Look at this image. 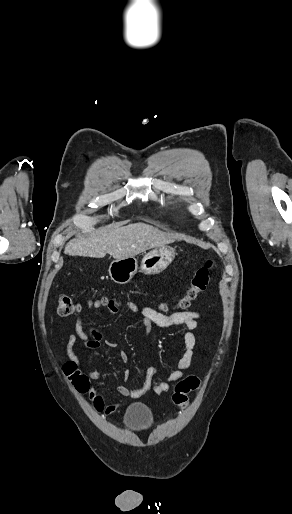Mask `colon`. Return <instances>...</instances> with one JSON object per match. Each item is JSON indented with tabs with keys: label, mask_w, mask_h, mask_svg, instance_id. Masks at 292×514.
Returning a JSON list of instances; mask_svg holds the SVG:
<instances>
[{
	"label": "colon",
	"mask_w": 292,
	"mask_h": 514,
	"mask_svg": "<svg viewBox=\"0 0 292 514\" xmlns=\"http://www.w3.org/2000/svg\"><path fill=\"white\" fill-rule=\"evenodd\" d=\"M213 265V261L209 260L195 271L190 287L183 294L179 302L180 308H188L191 303L206 290L213 271ZM58 310L61 316L70 317L79 312L80 306L71 296L62 294L58 298ZM63 371L77 391L86 392L89 389L87 375L80 372L75 362L65 361ZM198 380L199 375L197 373H192L191 375L185 374L183 379L178 381L175 385V393L172 397L173 402L178 405L188 404L185 395L188 396L192 394V389L199 385ZM95 400L98 405V411H103L104 405L102 397L97 395L95 396Z\"/></svg>",
	"instance_id": "1"
}]
</instances>
